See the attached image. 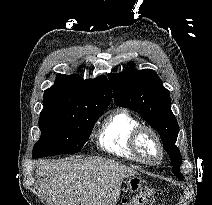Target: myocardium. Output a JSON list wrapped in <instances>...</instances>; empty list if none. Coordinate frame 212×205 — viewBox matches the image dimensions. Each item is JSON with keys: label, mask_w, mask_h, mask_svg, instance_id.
<instances>
[{"label": "myocardium", "mask_w": 212, "mask_h": 205, "mask_svg": "<svg viewBox=\"0 0 212 205\" xmlns=\"http://www.w3.org/2000/svg\"><path fill=\"white\" fill-rule=\"evenodd\" d=\"M148 140L155 148L154 155L148 153L144 147V141ZM131 147L138 158L150 164H158L161 162L164 149L160 138L156 132L147 126L138 127L131 136Z\"/></svg>", "instance_id": "obj_1"}]
</instances>
